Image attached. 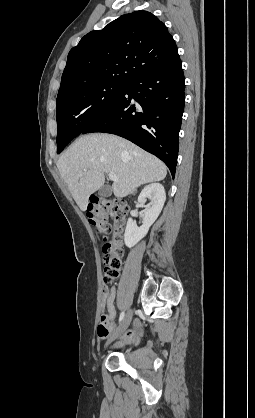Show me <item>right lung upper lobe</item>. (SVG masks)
<instances>
[{"mask_svg": "<svg viewBox=\"0 0 255 418\" xmlns=\"http://www.w3.org/2000/svg\"><path fill=\"white\" fill-rule=\"evenodd\" d=\"M178 58L165 24L150 12L135 11L91 31L71 49L58 94L98 82L128 84Z\"/></svg>", "mask_w": 255, "mask_h": 418, "instance_id": "cb5924a9", "label": "right lung upper lobe"}]
</instances>
